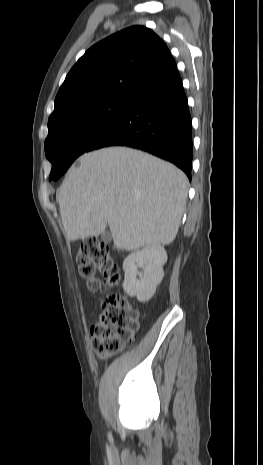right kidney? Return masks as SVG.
<instances>
[{
    "mask_svg": "<svg viewBox=\"0 0 263 465\" xmlns=\"http://www.w3.org/2000/svg\"><path fill=\"white\" fill-rule=\"evenodd\" d=\"M166 261L167 253L160 245L147 246L129 254L123 262L125 292L136 296L140 302L148 301L163 279ZM139 268H143L144 272H139Z\"/></svg>",
    "mask_w": 263,
    "mask_h": 465,
    "instance_id": "obj_1",
    "label": "right kidney"
}]
</instances>
